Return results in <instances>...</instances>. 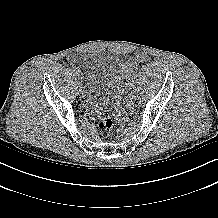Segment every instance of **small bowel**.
I'll return each mask as SVG.
<instances>
[{"instance_id":"1","label":"small bowel","mask_w":218,"mask_h":218,"mask_svg":"<svg viewBox=\"0 0 218 218\" xmlns=\"http://www.w3.org/2000/svg\"><path fill=\"white\" fill-rule=\"evenodd\" d=\"M70 60L73 61V57L72 56L70 57Z\"/></svg>"}]
</instances>
